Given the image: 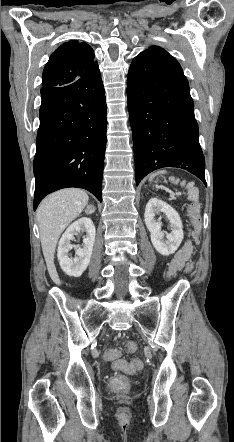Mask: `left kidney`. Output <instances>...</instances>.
Wrapping results in <instances>:
<instances>
[{"label":"left kidney","instance_id":"1","mask_svg":"<svg viewBox=\"0 0 234 442\" xmlns=\"http://www.w3.org/2000/svg\"><path fill=\"white\" fill-rule=\"evenodd\" d=\"M159 212L164 213L171 224L169 234L162 231V222L155 218ZM144 218L145 224L151 233V242L156 251L164 256L175 253L184 237L182 222L178 213L169 204L154 197L146 205Z\"/></svg>","mask_w":234,"mask_h":442}]
</instances>
